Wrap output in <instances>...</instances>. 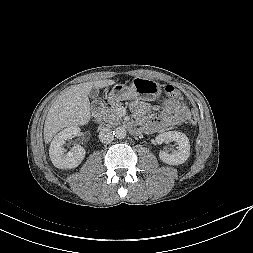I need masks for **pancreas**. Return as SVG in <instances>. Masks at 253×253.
<instances>
[{
  "instance_id": "pancreas-1",
  "label": "pancreas",
  "mask_w": 253,
  "mask_h": 253,
  "mask_svg": "<svg viewBox=\"0 0 253 253\" xmlns=\"http://www.w3.org/2000/svg\"><path fill=\"white\" fill-rule=\"evenodd\" d=\"M121 103L113 104L111 107H103L100 112L99 121L107 126H117L120 124L121 116L117 114Z\"/></svg>"
}]
</instances>
